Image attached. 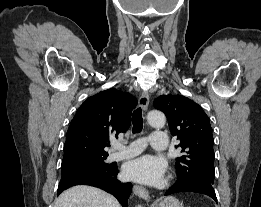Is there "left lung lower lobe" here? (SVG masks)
<instances>
[{"label":"left lung lower lobe","instance_id":"left-lung-lower-lobe-1","mask_svg":"<svg viewBox=\"0 0 261 207\" xmlns=\"http://www.w3.org/2000/svg\"><path fill=\"white\" fill-rule=\"evenodd\" d=\"M187 192L205 194L217 202L215 190L212 184L201 179L177 177V181L165 192V195Z\"/></svg>","mask_w":261,"mask_h":207}]
</instances>
